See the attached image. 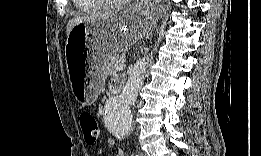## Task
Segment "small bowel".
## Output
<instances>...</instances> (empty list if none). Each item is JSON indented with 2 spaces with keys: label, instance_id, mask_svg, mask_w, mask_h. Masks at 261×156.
Listing matches in <instances>:
<instances>
[{
  "label": "small bowel",
  "instance_id": "c3829d8e",
  "mask_svg": "<svg viewBox=\"0 0 261 156\" xmlns=\"http://www.w3.org/2000/svg\"><path fill=\"white\" fill-rule=\"evenodd\" d=\"M123 85V79L122 78H114L110 82V91L117 90V88L121 87ZM111 144H113V141H110ZM118 156H123L124 151L122 148H118L117 150Z\"/></svg>",
  "mask_w": 261,
  "mask_h": 156
}]
</instances>
